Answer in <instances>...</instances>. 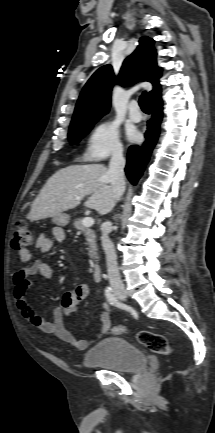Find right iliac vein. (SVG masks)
<instances>
[{"instance_id": "63e3f726", "label": "right iliac vein", "mask_w": 215, "mask_h": 433, "mask_svg": "<svg viewBox=\"0 0 215 433\" xmlns=\"http://www.w3.org/2000/svg\"><path fill=\"white\" fill-rule=\"evenodd\" d=\"M117 296L121 299H127L128 294L126 292H118Z\"/></svg>"}]
</instances>
